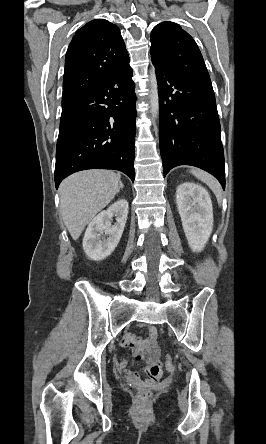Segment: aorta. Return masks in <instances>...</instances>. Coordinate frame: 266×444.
<instances>
[{
	"label": "aorta",
	"mask_w": 266,
	"mask_h": 444,
	"mask_svg": "<svg viewBox=\"0 0 266 444\" xmlns=\"http://www.w3.org/2000/svg\"><path fill=\"white\" fill-rule=\"evenodd\" d=\"M149 103H150V113L152 115V118H157L159 112V95H158L157 79L154 68L150 70Z\"/></svg>",
	"instance_id": "obj_1"
}]
</instances>
